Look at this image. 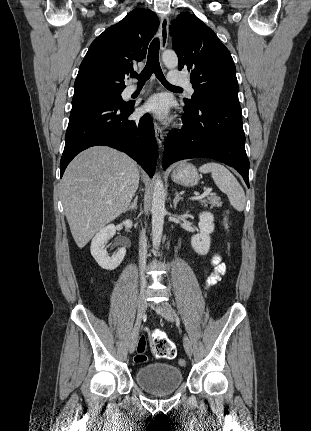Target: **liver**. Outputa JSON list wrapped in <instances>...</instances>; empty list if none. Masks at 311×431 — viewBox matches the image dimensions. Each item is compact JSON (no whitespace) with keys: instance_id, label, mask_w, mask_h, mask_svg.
I'll use <instances>...</instances> for the list:
<instances>
[{"instance_id":"1","label":"liver","mask_w":311,"mask_h":431,"mask_svg":"<svg viewBox=\"0 0 311 431\" xmlns=\"http://www.w3.org/2000/svg\"><path fill=\"white\" fill-rule=\"evenodd\" d=\"M143 176L134 160L107 146L89 148L72 160L63 176L61 194L78 247H84L98 229L127 210Z\"/></svg>"}]
</instances>
